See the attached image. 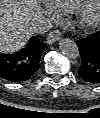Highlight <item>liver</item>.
<instances>
[{
	"label": "liver",
	"mask_w": 100,
	"mask_h": 118,
	"mask_svg": "<svg viewBox=\"0 0 100 118\" xmlns=\"http://www.w3.org/2000/svg\"><path fill=\"white\" fill-rule=\"evenodd\" d=\"M42 17L39 0H0V50H20L33 35L31 23Z\"/></svg>",
	"instance_id": "1"
}]
</instances>
